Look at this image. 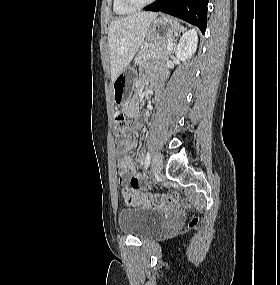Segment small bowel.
<instances>
[{
    "mask_svg": "<svg viewBox=\"0 0 280 285\" xmlns=\"http://www.w3.org/2000/svg\"><path fill=\"white\" fill-rule=\"evenodd\" d=\"M125 111L130 113L133 117L136 116V111L133 107H127ZM136 146L137 142L135 140H129L127 135L118 142L119 181L121 184L128 185L134 190H140L144 187L145 178L143 174L136 169L135 163L129 154Z\"/></svg>",
    "mask_w": 280,
    "mask_h": 285,
    "instance_id": "obj_1",
    "label": "small bowel"
}]
</instances>
